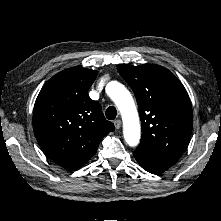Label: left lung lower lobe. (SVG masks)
<instances>
[{
	"label": "left lung lower lobe",
	"instance_id": "1",
	"mask_svg": "<svg viewBox=\"0 0 221 221\" xmlns=\"http://www.w3.org/2000/svg\"><path fill=\"white\" fill-rule=\"evenodd\" d=\"M133 154L140 166L153 174L163 173L177 162V160L160 157L139 148H137Z\"/></svg>",
	"mask_w": 221,
	"mask_h": 221
}]
</instances>
